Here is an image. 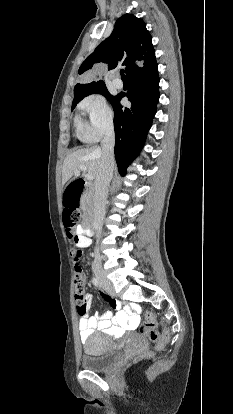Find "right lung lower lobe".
I'll return each instance as SVG.
<instances>
[{
	"instance_id": "obj_1",
	"label": "right lung lower lobe",
	"mask_w": 233,
	"mask_h": 414,
	"mask_svg": "<svg viewBox=\"0 0 233 414\" xmlns=\"http://www.w3.org/2000/svg\"><path fill=\"white\" fill-rule=\"evenodd\" d=\"M129 81V91L126 94H118L111 103L115 114V159L122 176L142 149L156 113L159 99L157 66L147 73L129 78ZM125 96L132 104L130 108H124L120 104V100Z\"/></svg>"
}]
</instances>
